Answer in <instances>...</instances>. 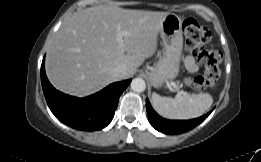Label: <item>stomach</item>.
Masks as SVG:
<instances>
[{"label":"stomach","mask_w":261,"mask_h":162,"mask_svg":"<svg viewBox=\"0 0 261 162\" xmlns=\"http://www.w3.org/2000/svg\"><path fill=\"white\" fill-rule=\"evenodd\" d=\"M163 52L149 74L154 87H160L165 81L176 78L180 71L183 50L182 19L169 13L160 29Z\"/></svg>","instance_id":"0dacf381"}]
</instances>
